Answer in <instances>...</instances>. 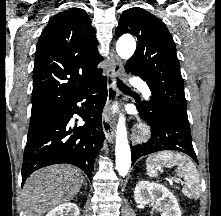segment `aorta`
<instances>
[{
    "label": "aorta",
    "mask_w": 221,
    "mask_h": 216,
    "mask_svg": "<svg viewBox=\"0 0 221 216\" xmlns=\"http://www.w3.org/2000/svg\"><path fill=\"white\" fill-rule=\"evenodd\" d=\"M136 41L131 35H123L116 44V51L120 58L128 60L135 52ZM116 169L121 176H125L131 165V151L127 139L125 118L119 117L116 130Z\"/></svg>",
    "instance_id": "aorta-1"
}]
</instances>
